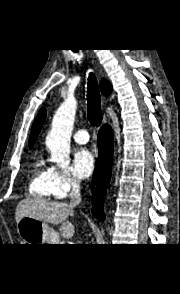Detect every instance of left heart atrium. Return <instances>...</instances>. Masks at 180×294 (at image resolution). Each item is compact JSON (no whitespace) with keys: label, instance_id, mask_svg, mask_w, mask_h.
Listing matches in <instances>:
<instances>
[{"label":"left heart atrium","instance_id":"left-heart-atrium-1","mask_svg":"<svg viewBox=\"0 0 180 294\" xmlns=\"http://www.w3.org/2000/svg\"><path fill=\"white\" fill-rule=\"evenodd\" d=\"M94 169V156L88 149H79L73 157V173L81 179L90 176Z\"/></svg>","mask_w":180,"mask_h":294}]
</instances>
